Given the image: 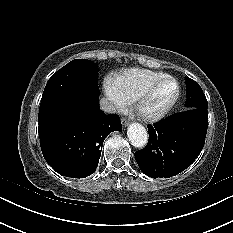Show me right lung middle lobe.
I'll use <instances>...</instances> for the list:
<instances>
[{"mask_svg": "<svg viewBox=\"0 0 233 233\" xmlns=\"http://www.w3.org/2000/svg\"><path fill=\"white\" fill-rule=\"evenodd\" d=\"M98 66L92 61L76 59L58 70L44 89L38 121L56 116H74L77 96L81 91L99 95Z\"/></svg>", "mask_w": 233, "mask_h": 233, "instance_id": "dd1d6c3e", "label": "right lung middle lobe"}]
</instances>
